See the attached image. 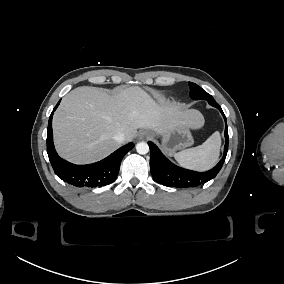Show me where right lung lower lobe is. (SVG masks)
<instances>
[{
    "instance_id": "98d812e1",
    "label": "right lung lower lobe",
    "mask_w": 284,
    "mask_h": 284,
    "mask_svg": "<svg viewBox=\"0 0 284 284\" xmlns=\"http://www.w3.org/2000/svg\"><path fill=\"white\" fill-rule=\"evenodd\" d=\"M60 102L54 108L58 107ZM51 113L48 129H47V153L55 174L63 181L76 187H102L108 185L116 179L122 158L134 147L133 143H129L105 159L88 165H75L60 158L54 148L53 132H52V116Z\"/></svg>"
}]
</instances>
